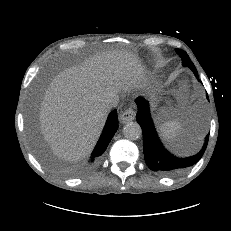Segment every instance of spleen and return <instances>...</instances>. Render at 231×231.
Returning <instances> with one entry per match:
<instances>
[{"label":"spleen","mask_w":231,"mask_h":231,"mask_svg":"<svg viewBox=\"0 0 231 231\" xmlns=\"http://www.w3.org/2000/svg\"><path fill=\"white\" fill-rule=\"evenodd\" d=\"M182 122L178 119L165 122L158 126L160 136L165 140L169 141L176 137L182 130Z\"/></svg>","instance_id":"spleen-1"}]
</instances>
